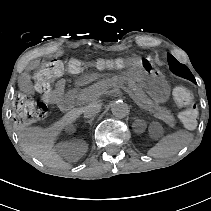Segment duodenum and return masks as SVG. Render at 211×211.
<instances>
[{
	"label": "duodenum",
	"mask_w": 211,
	"mask_h": 211,
	"mask_svg": "<svg viewBox=\"0 0 211 211\" xmlns=\"http://www.w3.org/2000/svg\"><path fill=\"white\" fill-rule=\"evenodd\" d=\"M75 104V93L74 92H69L66 95H64L58 105L59 108L63 111V112H69L73 109Z\"/></svg>",
	"instance_id": "1"
}]
</instances>
